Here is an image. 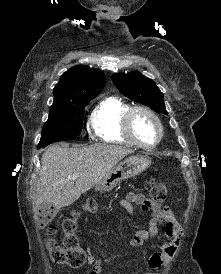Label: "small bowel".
Wrapping results in <instances>:
<instances>
[{
  "label": "small bowel",
  "mask_w": 221,
  "mask_h": 274,
  "mask_svg": "<svg viewBox=\"0 0 221 274\" xmlns=\"http://www.w3.org/2000/svg\"><path fill=\"white\" fill-rule=\"evenodd\" d=\"M138 204L145 212H150L151 216L148 221L147 228L137 230L131 238V245L138 247L152 237H156L159 233V224H164V235L166 241L161 245L160 249L154 252L149 260L148 267L150 271L147 274H153L151 270L160 268L163 264L168 263L176 253L181 228L173 212L168 207H161L159 203L153 202L140 193H129L120 205L130 214L134 213L132 204ZM88 262L93 265L89 274H103V270L99 261L94 255L88 252Z\"/></svg>",
  "instance_id": "c3829d8e"
}]
</instances>
